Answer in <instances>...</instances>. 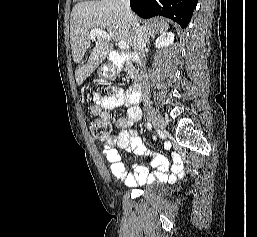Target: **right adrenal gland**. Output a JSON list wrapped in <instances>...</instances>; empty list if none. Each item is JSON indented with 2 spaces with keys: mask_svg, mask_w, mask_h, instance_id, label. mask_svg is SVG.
Returning a JSON list of instances; mask_svg holds the SVG:
<instances>
[{
  "mask_svg": "<svg viewBox=\"0 0 257 237\" xmlns=\"http://www.w3.org/2000/svg\"><path fill=\"white\" fill-rule=\"evenodd\" d=\"M150 37H155V33H153V32H146L144 34V39H145L146 43H149Z\"/></svg>",
  "mask_w": 257,
  "mask_h": 237,
  "instance_id": "2a0ac1e0",
  "label": "right adrenal gland"
}]
</instances>
